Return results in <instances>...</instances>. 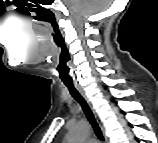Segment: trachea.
<instances>
[{"label": "trachea", "instance_id": "trachea-1", "mask_svg": "<svg viewBox=\"0 0 158 143\" xmlns=\"http://www.w3.org/2000/svg\"><path fill=\"white\" fill-rule=\"evenodd\" d=\"M64 84L69 89L70 94L73 96V98L81 105V107H82L88 121L92 125L97 137L101 141H104V137L102 135L101 129L94 117V114H93L91 108L89 107L88 103L86 102V100L81 96V94L77 91V89L75 88V86L73 84H68V83H64Z\"/></svg>", "mask_w": 158, "mask_h": 143}]
</instances>
